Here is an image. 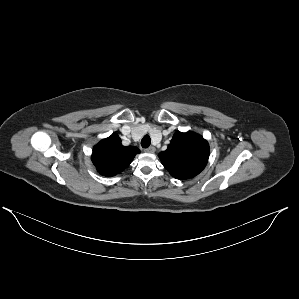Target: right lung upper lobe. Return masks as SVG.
<instances>
[{
    "label": "right lung upper lobe",
    "instance_id": "obj_1",
    "mask_svg": "<svg viewBox=\"0 0 299 299\" xmlns=\"http://www.w3.org/2000/svg\"><path fill=\"white\" fill-rule=\"evenodd\" d=\"M140 150L135 146H123L117 134L101 140L93 148L92 162L104 176L121 173Z\"/></svg>",
    "mask_w": 299,
    "mask_h": 299
}]
</instances>
